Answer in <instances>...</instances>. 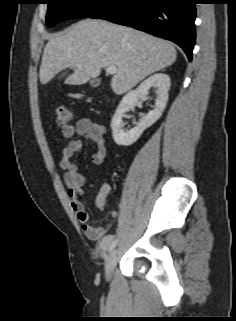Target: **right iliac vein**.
I'll return each instance as SVG.
<instances>
[{
  "mask_svg": "<svg viewBox=\"0 0 236 321\" xmlns=\"http://www.w3.org/2000/svg\"><path fill=\"white\" fill-rule=\"evenodd\" d=\"M117 255H118L117 250H113L106 259L105 277L108 281H110L112 278L113 270L117 262Z\"/></svg>",
  "mask_w": 236,
  "mask_h": 321,
  "instance_id": "1",
  "label": "right iliac vein"
}]
</instances>
